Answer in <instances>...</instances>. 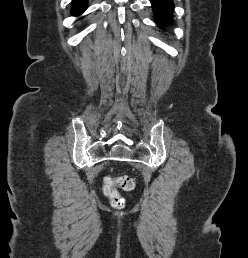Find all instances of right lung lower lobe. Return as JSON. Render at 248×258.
<instances>
[{
	"label": "right lung lower lobe",
	"instance_id": "obj_1",
	"mask_svg": "<svg viewBox=\"0 0 248 258\" xmlns=\"http://www.w3.org/2000/svg\"><path fill=\"white\" fill-rule=\"evenodd\" d=\"M87 8V0H73L72 14L80 15Z\"/></svg>",
	"mask_w": 248,
	"mask_h": 258
}]
</instances>
